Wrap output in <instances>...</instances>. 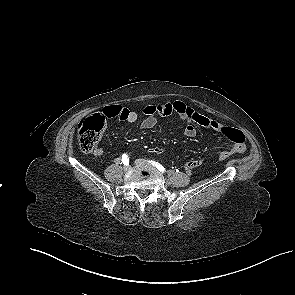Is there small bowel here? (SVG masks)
<instances>
[{
  "label": "small bowel",
  "instance_id": "obj_1",
  "mask_svg": "<svg viewBox=\"0 0 295 295\" xmlns=\"http://www.w3.org/2000/svg\"><path fill=\"white\" fill-rule=\"evenodd\" d=\"M107 118H117L128 123H135L138 120V114L120 105L107 106L102 111ZM145 118L140 123L141 130L152 129L160 116H178L186 125L184 127V135L188 138H193L197 134V129L203 127L213 130L225 135V129L230 128L214 119H211L181 101H174L168 103L150 104L142 109ZM104 153L102 148H97L94 155L102 156ZM203 161L201 159H191L184 165L187 171H191L201 166Z\"/></svg>",
  "mask_w": 295,
  "mask_h": 295
}]
</instances>
